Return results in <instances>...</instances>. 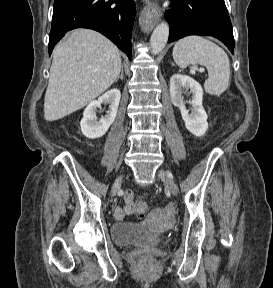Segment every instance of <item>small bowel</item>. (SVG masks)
I'll return each instance as SVG.
<instances>
[{"mask_svg": "<svg viewBox=\"0 0 273 288\" xmlns=\"http://www.w3.org/2000/svg\"><path fill=\"white\" fill-rule=\"evenodd\" d=\"M125 205L123 207L117 206L114 209V216L116 219L121 220L126 215L133 213L134 195L131 191H127L124 196Z\"/></svg>", "mask_w": 273, "mask_h": 288, "instance_id": "c3829d8e", "label": "small bowel"}]
</instances>
